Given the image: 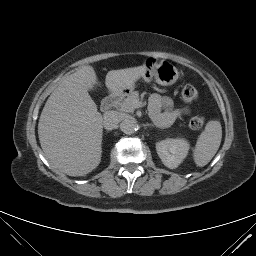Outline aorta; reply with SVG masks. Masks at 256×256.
Here are the masks:
<instances>
[{"mask_svg":"<svg viewBox=\"0 0 256 256\" xmlns=\"http://www.w3.org/2000/svg\"><path fill=\"white\" fill-rule=\"evenodd\" d=\"M120 129L125 134H132L136 130V124L132 120H124L120 124Z\"/></svg>","mask_w":256,"mask_h":256,"instance_id":"obj_1","label":"aorta"}]
</instances>
